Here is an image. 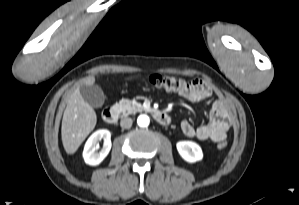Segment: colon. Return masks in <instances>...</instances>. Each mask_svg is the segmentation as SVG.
Here are the masks:
<instances>
[{
  "label": "colon",
  "mask_w": 299,
  "mask_h": 205,
  "mask_svg": "<svg viewBox=\"0 0 299 205\" xmlns=\"http://www.w3.org/2000/svg\"><path fill=\"white\" fill-rule=\"evenodd\" d=\"M148 83L158 89L166 91H181L187 88L191 82L177 75H160L154 74L148 78ZM227 146L226 140L218 142L217 147L224 149Z\"/></svg>",
  "instance_id": "obj_1"
}]
</instances>
